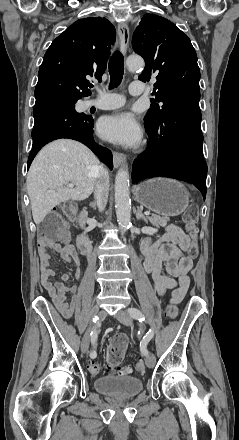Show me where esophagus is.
Segmentation results:
<instances>
[{
    "label": "esophagus",
    "instance_id": "34e87169",
    "mask_svg": "<svg viewBox=\"0 0 239 440\" xmlns=\"http://www.w3.org/2000/svg\"><path fill=\"white\" fill-rule=\"evenodd\" d=\"M117 30L120 37L121 51L122 53H126L130 39V32L127 23L125 22L118 23ZM125 161H126V155L124 153L113 152V164L115 168H118L119 165L124 164Z\"/></svg>",
    "mask_w": 239,
    "mask_h": 440
}]
</instances>
